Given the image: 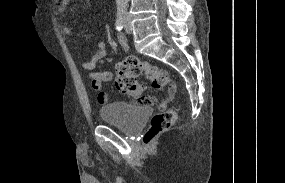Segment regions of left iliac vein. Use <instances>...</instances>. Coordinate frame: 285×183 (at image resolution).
I'll return each mask as SVG.
<instances>
[{"mask_svg": "<svg viewBox=\"0 0 285 183\" xmlns=\"http://www.w3.org/2000/svg\"><path fill=\"white\" fill-rule=\"evenodd\" d=\"M124 27H125V31L127 32V33H132V26H131V24H130V19H129V17H128V15H125V17H124Z\"/></svg>", "mask_w": 285, "mask_h": 183, "instance_id": "4c4485c4", "label": "left iliac vein"}]
</instances>
